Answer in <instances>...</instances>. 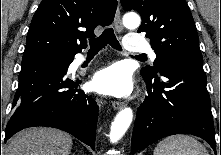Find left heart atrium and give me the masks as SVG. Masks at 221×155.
<instances>
[{"label":"left heart atrium","mask_w":221,"mask_h":155,"mask_svg":"<svg viewBox=\"0 0 221 155\" xmlns=\"http://www.w3.org/2000/svg\"><path fill=\"white\" fill-rule=\"evenodd\" d=\"M92 87L100 94L127 96L133 88L132 76L123 64L115 63L95 73Z\"/></svg>","instance_id":"left-heart-atrium-1"}]
</instances>
